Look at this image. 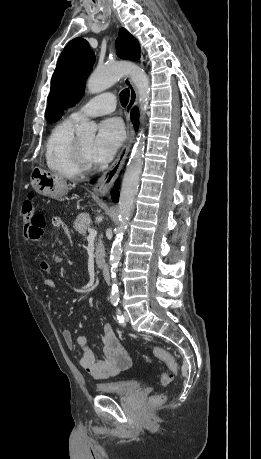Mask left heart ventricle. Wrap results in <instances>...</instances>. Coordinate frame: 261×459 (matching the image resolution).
Segmentation results:
<instances>
[{"label":"left heart ventricle","instance_id":"obj_1","mask_svg":"<svg viewBox=\"0 0 261 459\" xmlns=\"http://www.w3.org/2000/svg\"><path fill=\"white\" fill-rule=\"evenodd\" d=\"M82 147L86 153V155L91 159V152L93 148V143H94V137L93 136H85V137H80L79 138Z\"/></svg>","mask_w":261,"mask_h":459}]
</instances>
